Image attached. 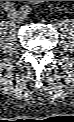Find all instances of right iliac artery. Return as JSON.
I'll return each mask as SVG.
<instances>
[{"mask_svg": "<svg viewBox=\"0 0 74 122\" xmlns=\"http://www.w3.org/2000/svg\"><path fill=\"white\" fill-rule=\"evenodd\" d=\"M3 8L6 11H12V10H14V4L11 3V2H6V3L3 4Z\"/></svg>", "mask_w": 74, "mask_h": 122, "instance_id": "82829eb1", "label": "right iliac artery"}]
</instances>
